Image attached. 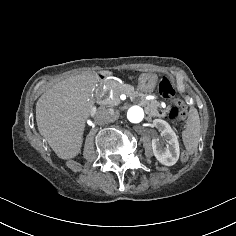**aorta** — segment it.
Here are the masks:
<instances>
[{
	"instance_id": "762f6f07",
	"label": "aorta",
	"mask_w": 236,
	"mask_h": 236,
	"mask_svg": "<svg viewBox=\"0 0 236 236\" xmlns=\"http://www.w3.org/2000/svg\"><path fill=\"white\" fill-rule=\"evenodd\" d=\"M110 111L113 112V109H110ZM125 115L127 119L134 124L140 123L145 119V111L140 106H131L126 110Z\"/></svg>"
}]
</instances>
